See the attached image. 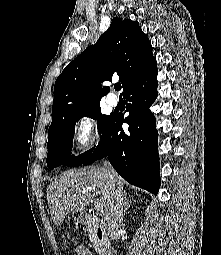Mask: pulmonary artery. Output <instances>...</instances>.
<instances>
[{"label":"pulmonary artery","instance_id":"e3ab8cb5","mask_svg":"<svg viewBox=\"0 0 221 255\" xmlns=\"http://www.w3.org/2000/svg\"><path fill=\"white\" fill-rule=\"evenodd\" d=\"M107 102L111 105V106H116L118 104V97L112 93L107 95Z\"/></svg>","mask_w":221,"mask_h":255}]
</instances>
